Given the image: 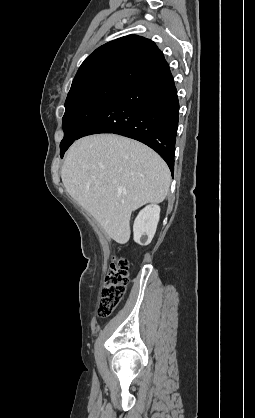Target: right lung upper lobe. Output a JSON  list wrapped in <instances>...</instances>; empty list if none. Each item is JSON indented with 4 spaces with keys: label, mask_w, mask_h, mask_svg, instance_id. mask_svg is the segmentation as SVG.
I'll return each mask as SVG.
<instances>
[{
    "label": "right lung upper lobe",
    "mask_w": 255,
    "mask_h": 418,
    "mask_svg": "<svg viewBox=\"0 0 255 418\" xmlns=\"http://www.w3.org/2000/svg\"><path fill=\"white\" fill-rule=\"evenodd\" d=\"M168 68L163 53L153 41L128 35L100 46L88 56L80 66L70 90L98 81L128 86Z\"/></svg>",
    "instance_id": "obj_1"
}]
</instances>
